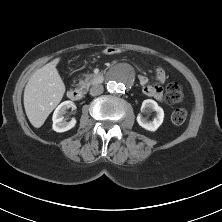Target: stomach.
<instances>
[{"instance_id": "1", "label": "stomach", "mask_w": 222, "mask_h": 222, "mask_svg": "<svg viewBox=\"0 0 222 222\" xmlns=\"http://www.w3.org/2000/svg\"><path fill=\"white\" fill-rule=\"evenodd\" d=\"M119 52V49L116 48V47H113V46H108L105 50H104V53L105 54H115V53H118Z\"/></svg>"}]
</instances>
